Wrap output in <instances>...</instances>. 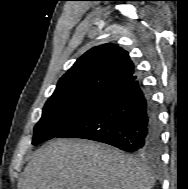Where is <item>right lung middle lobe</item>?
Masks as SVG:
<instances>
[{"label":"right lung middle lobe","mask_w":188,"mask_h":189,"mask_svg":"<svg viewBox=\"0 0 188 189\" xmlns=\"http://www.w3.org/2000/svg\"><path fill=\"white\" fill-rule=\"evenodd\" d=\"M110 92L85 90L52 95L43 108L34 128L33 145L56 137L80 120L96 103Z\"/></svg>","instance_id":"1"}]
</instances>
